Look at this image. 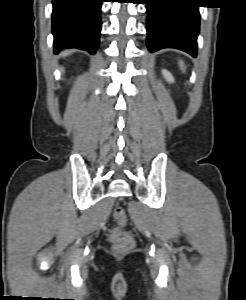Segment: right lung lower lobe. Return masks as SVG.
I'll use <instances>...</instances> for the list:
<instances>
[{
	"label": "right lung lower lobe",
	"instance_id": "98d812e1",
	"mask_svg": "<svg viewBox=\"0 0 246 300\" xmlns=\"http://www.w3.org/2000/svg\"><path fill=\"white\" fill-rule=\"evenodd\" d=\"M103 0H53L54 52L79 48L94 54L99 46Z\"/></svg>",
	"mask_w": 246,
	"mask_h": 300
}]
</instances>
